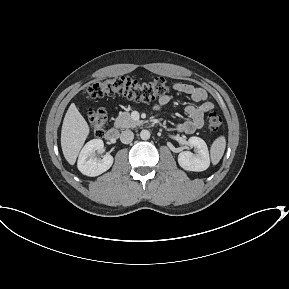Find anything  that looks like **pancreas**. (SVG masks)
Here are the masks:
<instances>
[{
    "instance_id": "cf45deb5",
    "label": "pancreas",
    "mask_w": 289,
    "mask_h": 289,
    "mask_svg": "<svg viewBox=\"0 0 289 289\" xmlns=\"http://www.w3.org/2000/svg\"><path fill=\"white\" fill-rule=\"evenodd\" d=\"M140 124H141L140 121H135L132 119L130 113L121 112L115 119L114 126L116 128L124 129V128H134L135 126H138Z\"/></svg>"
}]
</instances>
